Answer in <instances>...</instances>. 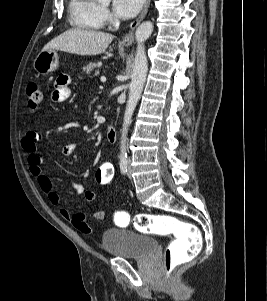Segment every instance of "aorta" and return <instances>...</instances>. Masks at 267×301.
Segmentation results:
<instances>
[{
    "label": "aorta",
    "mask_w": 267,
    "mask_h": 301,
    "mask_svg": "<svg viewBox=\"0 0 267 301\" xmlns=\"http://www.w3.org/2000/svg\"><path fill=\"white\" fill-rule=\"evenodd\" d=\"M100 2H110V0H99ZM153 32V23L150 21L143 22L137 28L135 32V38L137 42V49L134 60V67L132 72V79L129 85V99L127 102L124 121L121 132V142H120V158L125 159L127 156L126 142L127 133L129 125L131 124V118L136 105L141 97V93L144 88L148 64L147 57L145 53L144 42L151 36Z\"/></svg>",
    "instance_id": "obj_1"
}]
</instances>
